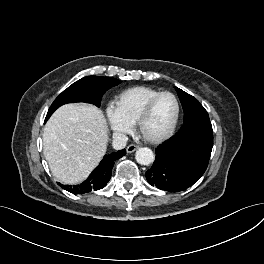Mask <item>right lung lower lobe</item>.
Listing matches in <instances>:
<instances>
[{
  "instance_id": "right-lung-lower-lobe-1",
  "label": "right lung lower lobe",
  "mask_w": 264,
  "mask_h": 264,
  "mask_svg": "<svg viewBox=\"0 0 264 264\" xmlns=\"http://www.w3.org/2000/svg\"><path fill=\"white\" fill-rule=\"evenodd\" d=\"M125 154L126 150L123 149L121 151L113 152L109 155L104 156L100 164L93 170L88 179L85 180L82 184L74 186L61 185L59 183L58 184L63 189L74 194H84L102 189L110 180L114 162Z\"/></svg>"
}]
</instances>
